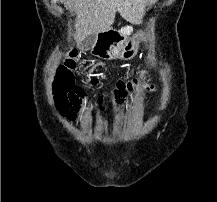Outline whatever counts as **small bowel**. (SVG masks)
<instances>
[{
    "instance_id": "c3829d8e",
    "label": "small bowel",
    "mask_w": 217,
    "mask_h": 202,
    "mask_svg": "<svg viewBox=\"0 0 217 202\" xmlns=\"http://www.w3.org/2000/svg\"><path fill=\"white\" fill-rule=\"evenodd\" d=\"M87 90H96V85H87Z\"/></svg>"
}]
</instances>
